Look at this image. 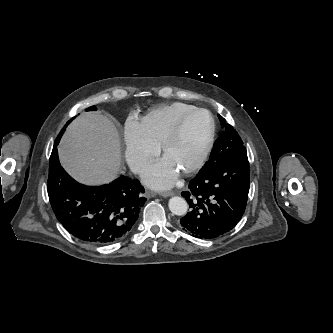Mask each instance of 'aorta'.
<instances>
[{"instance_id": "1", "label": "aorta", "mask_w": 333, "mask_h": 333, "mask_svg": "<svg viewBox=\"0 0 333 333\" xmlns=\"http://www.w3.org/2000/svg\"><path fill=\"white\" fill-rule=\"evenodd\" d=\"M169 209L173 214L183 216L187 213L188 204L183 198L175 196L169 200Z\"/></svg>"}]
</instances>
